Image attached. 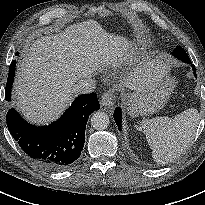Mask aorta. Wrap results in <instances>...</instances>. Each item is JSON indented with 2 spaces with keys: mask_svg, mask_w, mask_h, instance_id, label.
<instances>
[{
  "mask_svg": "<svg viewBox=\"0 0 205 205\" xmlns=\"http://www.w3.org/2000/svg\"><path fill=\"white\" fill-rule=\"evenodd\" d=\"M109 116L101 111L95 112L91 117V125L97 130H104L109 126Z\"/></svg>",
  "mask_w": 205,
  "mask_h": 205,
  "instance_id": "1",
  "label": "aorta"
}]
</instances>
